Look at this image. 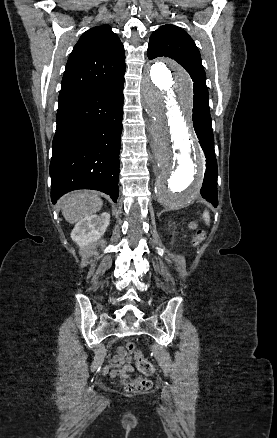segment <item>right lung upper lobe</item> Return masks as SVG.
Masks as SVG:
<instances>
[{"instance_id":"right-lung-upper-lobe-1","label":"right lung upper lobe","mask_w":277,"mask_h":438,"mask_svg":"<svg viewBox=\"0 0 277 438\" xmlns=\"http://www.w3.org/2000/svg\"><path fill=\"white\" fill-rule=\"evenodd\" d=\"M124 72L125 53L118 36L108 25L91 28L69 56L59 101L115 80Z\"/></svg>"}]
</instances>
